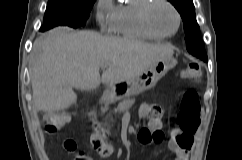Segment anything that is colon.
<instances>
[{"label":"colon","instance_id":"1","mask_svg":"<svg viewBox=\"0 0 242 160\" xmlns=\"http://www.w3.org/2000/svg\"><path fill=\"white\" fill-rule=\"evenodd\" d=\"M201 75V67L198 63H190L184 70L183 76L187 79L197 80ZM149 116L158 120L162 114V111L158 108L150 109ZM69 115L64 113H50L44 118V130L50 135L57 134L62 127L69 122ZM179 131L175 136L179 142L183 145L187 144V139L184 135L193 134L200 122V102L198 99V93L195 90H187L181 101V108L178 114ZM140 138L144 144L159 143L163 140V132L157 128L152 130L149 128L143 129L139 133ZM107 142L99 141L94 148L100 156L107 157L111 154L110 149L107 146ZM66 148V142L64 143ZM74 160H91L89 155L85 152H80Z\"/></svg>","mask_w":242,"mask_h":160}]
</instances>
